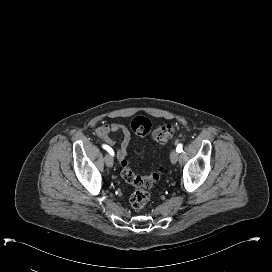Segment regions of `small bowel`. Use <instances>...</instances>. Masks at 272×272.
I'll return each mask as SVG.
<instances>
[{"label":"small bowel","instance_id":"c3829d8e","mask_svg":"<svg viewBox=\"0 0 272 272\" xmlns=\"http://www.w3.org/2000/svg\"><path fill=\"white\" fill-rule=\"evenodd\" d=\"M112 133H119L122 137L120 147L117 149V158L123 160L127 156L131 133L126 125L117 122L103 125L96 130L98 138L111 146L115 144V139L111 137Z\"/></svg>","mask_w":272,"mask_h":272}]
</instances>
